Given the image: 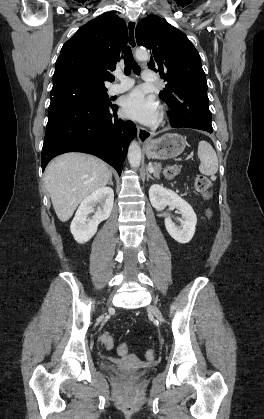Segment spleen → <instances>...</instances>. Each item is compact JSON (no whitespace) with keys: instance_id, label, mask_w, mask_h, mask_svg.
<instances>
[{"instance_id":"3e777b00","label":"spleen","mask_w":264,"mask_h":419,"mask_svg":"<svg viewBox=\"0 0 264 419\" xmlns=\"http://www.w3.org/2000/svg\"><path fill=\"white\" fill-rule=\"evenodd\" d=\"M198 157L201 161L199 171L201 174L212 176L218 171V158L215 150L205 140H201L198 144Z\"/></svg>"}]
</instances>
